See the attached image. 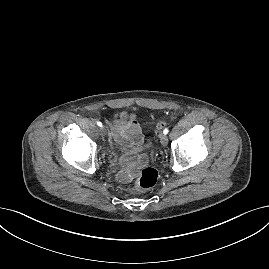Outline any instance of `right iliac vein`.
Listing matches in <instances>:
<instances>
[{"instance_id": "63e3f726", "label": "right iliac vein", "mask_w": 269, "mask_h": 269, "mask_svg": "<svg viewBox=\"0 0 269 269\" xmlns=\"http://www.w3.org/2000/svg\"><path fill=\"white\" fill-rule=\"evenodd\" d=\"M99 131L102 136L106 135V129L104 127H101Z\"/></svg>"}]
</instances>
